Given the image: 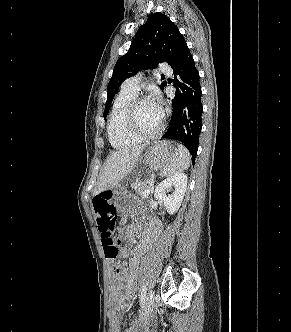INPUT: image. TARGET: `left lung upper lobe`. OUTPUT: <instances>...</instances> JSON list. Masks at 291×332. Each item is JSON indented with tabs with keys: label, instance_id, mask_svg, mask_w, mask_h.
Wrapping results in <instances>:
<instances>
[{
	"label": "left lung upper lobe",
	"instance_id": "1",
	"mask_svg": "<svg viewBox=\"0 0 291 332\" xmlns=\"http://www.w3.org/2000/svg\"><path fill=\"white\" fill-rule=\"evenodd\" d=\"M185 39L178 27L162 13L151 14L147 22L140 26L128 52L117 61L107 87V101L104 110L106 118L111 102L121 83L140 70L155 67L166 61L173 67L181 58ZM166 82L159 87L163 89Z\"/></svg>",
	"mask_w": 291,
	"mask_h": 332
}]
</instances>
